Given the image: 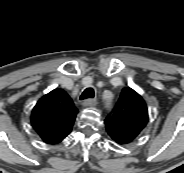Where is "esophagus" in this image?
I'll return each instance as SVG.
<instances>
[{
    "label": "esophagus",
    "mask_w": 184,
    "mask_h": 173,
    "mask_svg": "<svg viewBox=\"0 0 184 173\" xmlns=\"http://www.w3.org/2000/svg\"><path fill=\"white\" fill-rule=\"evenodd\" d=\"M97 100L96 99H86L82 102V105L84 107H94L97 105Z\"/></svg>",
    "instance_id": "1"
}]
</instances>
